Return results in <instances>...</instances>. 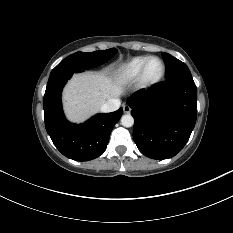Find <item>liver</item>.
<instances>
[{"label": "liver", "instance_id": "liver-1", "mask_svg": "<svg viewBox=\"0 0 233 233\" xmlns=\"http://www.w3.org/2000/svg\"><path fill=\"white\" fill-rule=\"evenodd\" d=\"M123 86L122 76H109L102 71L75 75L63 92L67 118L75 123L85 121L108 100L121 95Z\"/></svg>", "mask_w": 233, "mask_h": 233}]
</instances>
